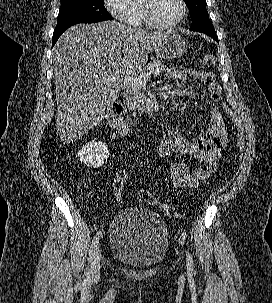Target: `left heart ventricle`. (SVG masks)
<instances>
[{"mask_svg": "<svg viewBox=\"0 0 272 303\" xmlns=\"http://www.w3.org/2000/svg\"><path fill=\"white\" fill-rule=\"evenodd\" d=\"M181 13V6L178 0H155L154 16L161 24L174 22Z\"/></svg>", "mask_w": 272, "mask_h": 303, "instance_id": "1", "label": "left heart ventricle"}]
</instances>
